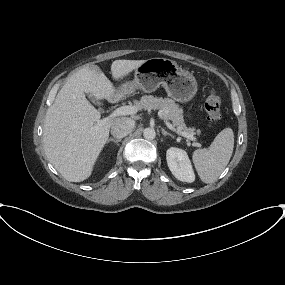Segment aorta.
Instances as JSON below:
<instances>
[{"label":"aorta","mask_w":285,"mask_h":285,"mask_svg":"<svg viewBox=\"0 0 285 285\" xmlns=\"http://www.w3.org/2000/svg\"><path fill=\"white\" fill-rule=\"evenodd\" d=\"M143 136L147 140H153L156 137V132L153 128H146L143 131Z\"/></svg>","instance_id":"762f6f07"}]
</instances>
